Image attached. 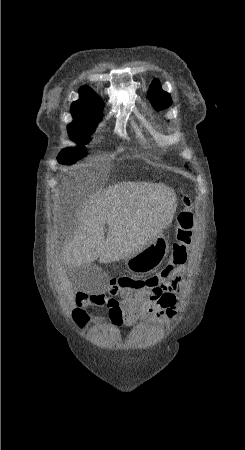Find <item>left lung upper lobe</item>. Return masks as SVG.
<instances>
[{"instance_id":"5c2ea615","label":"left lung upper lobe","mask_w":245,"mask_h":450,"mask_svg":"<svg viewBox=\"0 0 245 450\" xmlns=\"http://www.w3.org/2000/svg\"><path fill=\"white\" fill-rule=\"evenodd\" d=\"M148 97L155 110L165 109L169 107L172 102L170 94L162 90L158 80H155L152 83L148 91Z\"/></svg>"}]
</instances>
